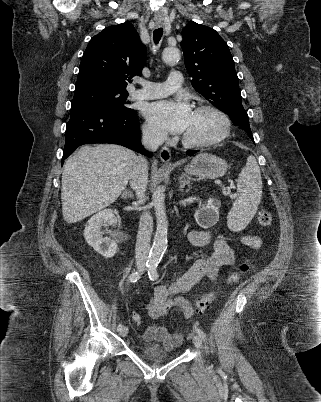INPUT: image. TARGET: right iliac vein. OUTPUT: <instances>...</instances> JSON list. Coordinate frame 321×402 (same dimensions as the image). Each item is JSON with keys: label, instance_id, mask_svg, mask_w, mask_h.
Returning a JSON list of instances; mask_svg holds the SVG:
<instances>
[{"label": "right iliac vein", "instance_id": "63e3f726", "mask_svg": "<svg viewBox=\"0 0 321 402\" xmlns=\"http://www.w3.org/2000/svg\"><path fill=\"white\" fill-rule=\"evenodd\" d=\"M127 334H128V328H127V327H123L122 330L120 331V335H121L122 337H125V336H127Z\"/></svg>", "mask_w": 321, "mask_h": 402}]
</instances>
